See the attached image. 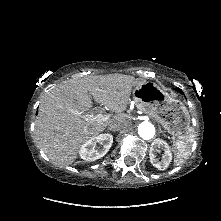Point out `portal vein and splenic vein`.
Returning <instances> with one entry per match:
<instances>
[{
	"mask_svg": "<svg viewBox=\"0 0 221 221\" xmlns=\"http://www.w3.org/2000/svg\"><path fill=\"white\" fill-rule=\"evenodd\" d=\"M75 114L79 115L80 113H78L77 111H73ZM82 117L85 120H91V121H104V120H108L110 118V115H103V114H97L96 116L93 115H82Z\"/></svg>",
	"mask_w": 221,
	"mask_h": 221,
	"instance_id": "18ae733b",
	"label": "portal vein and splenic vein"
}]
</instances>
